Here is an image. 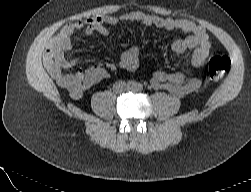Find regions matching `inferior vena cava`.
<instances>
[{
    "label": "inferior vena cava",
    "instance_id": "obj_1",
    "mask_svg": "<svg viewBox=\"0 0 251 192\" xmlns=\"http://www.w3.org/2000/svg\"><path fill=\"white\" fill-rule=\"evenodd\" d=\"M113 90L115 92H122V91L126 90V84L122 81L116 82L113 85Z\"/></svg>",
    "mask_w": 251,
    "mask_h": 192
}]
</instances>
